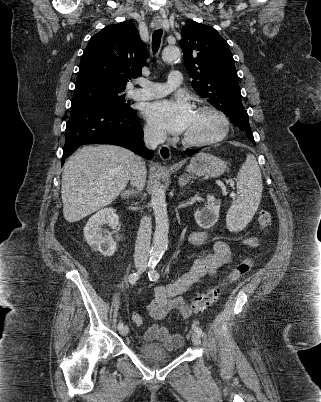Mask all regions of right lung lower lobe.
Here are the masks:
<instances>
[{
    "instance_id": "right-lung-lower-lobe-1",
    "label": "right lung lower lobe",
    "mask_w": 321,
    "mask_h": 402,
    "mask_svg": "<svg viewBox=\"0 0 321 402\" xmlns=\"http://www.w3.org/2000/svg\"><path fill=\"white\" fill-rule=\"evenodd\" d=\"M143 130L137 112L107 111L92 107L71 109L66 124L62 166L78 147L85 144H113L151 159L154 153L143 144Z\"/></svg>"
}]
</instances>
